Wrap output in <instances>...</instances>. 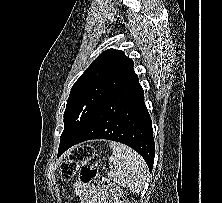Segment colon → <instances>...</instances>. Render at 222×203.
I'll list each match as a JSON object with an SVG mask.
<instances>
[{"mask_svg": "<svg viewBox=\"0 0 222 203\" xmlns=\"http://www.w3.org/2000/svg\"><path fill=\"white\" fill-rule=\"evenodd\" d=\"M77 173L81 183L106 187L111 191L113 203H123L119 187L100 172L99 159L92 146L82 145L74 149L60 166V175L65 181L70 180Z\"/></svg>", "mask_w": 222, "mask_h": 203, "instance_id": "obj_1", "label": "colon"}]
</instances>
